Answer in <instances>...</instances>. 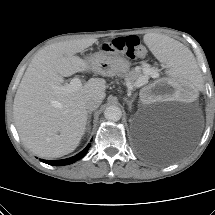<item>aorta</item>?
I'll return each mask as SVG.
<instances>
[{
    "label": "aorta",
    "mask_w": 215,
    "mask_h": 215,
    "mask_svg": "<svg viewBox=\"0 0 215 215\" xmlns=\"http://www.w3.org/2000/svg\"><path fill=\"white\" fill-rule=\"evenodd\" d=\"M104 117L111 122H117L122 117V111L118 106H108L104 111Z\"/></svg>",
    "instance_id": "762f6f07"
}]
</instances>
